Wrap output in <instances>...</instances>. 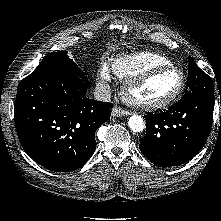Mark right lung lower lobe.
Instances as JSON below:
<instances>
[{
	"mask_svg": "<svg viewBox=\"0 0 221 221\" xmlns=\"http://www.w3.org/2000/svg\"><path fill=\"white\" fill-rule=\"evenodd\" d=\"M90 83L70 73L24 78L14 104L18 138L43 167L73 171L96 149V129L110 119L112 104L87 98Z\"/></svg>",
	"mask_w": 221,
	"mask_h": 221,
	"instance_id": "obj_1",
	"label": "right lung lower lobe"
}]
</instances>
